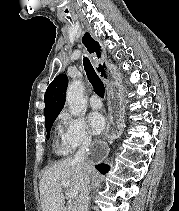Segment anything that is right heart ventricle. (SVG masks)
<instances>
[{
  "label": "right heart ventricle",
  "mask_w": 179,
  "mask_h": 211,
  "mask_svg": "<svg viewBox=\"0 0 179 211\" xmlns=\"http://www.w3.org/2000/svg\"><path fill=\"white\" fill-rule=\"evenodd\" d=\"M54 149L57 153L59 154H65L66 152H68L64 146L62 145V143H59V142H55L54 144Z\"/></svg>",
  "instance_id": "right-heart-ventricle-1"
}]
</instances>
